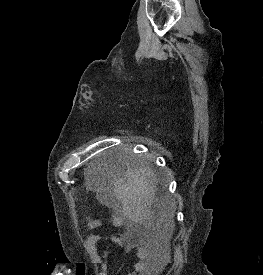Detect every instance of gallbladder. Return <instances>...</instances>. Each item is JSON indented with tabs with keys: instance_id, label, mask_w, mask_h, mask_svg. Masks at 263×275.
Segmentation results:
<instances>
[{
	"instance_id": "1",
	"label": "gallbladder",
	"mask_w": 263,
	"mask_h": 275,
	"mask_svg": "<svg viewBox=\"0 0 263 275\" xmlns=\"http://www.w3.org/2000/svg\"><path fill=\"white\" fill-rule=\"evenodd\" d=\"M97 199L103 205H107L109 201V197L106 194H98Z\"/></svg>"
}]
</instances>
